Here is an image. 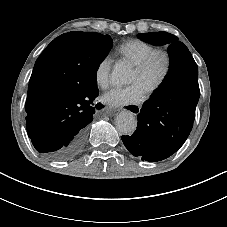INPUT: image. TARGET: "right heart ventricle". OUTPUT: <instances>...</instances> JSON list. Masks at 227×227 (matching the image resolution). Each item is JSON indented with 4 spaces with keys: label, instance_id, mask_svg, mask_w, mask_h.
I'll return each mask as SVG.
<instances>
[{
    "label": "right heart ventricle",
    "instance_id": "1",
    "mask_svg": "<svg viewBox=\"0 0 227 227\" xmlns=\"http://www.w3.org/2000/svg\"><path fill=\"white\" fill-rule=\"evenodd\" d=\"M154 49V46L146 41L129 39L118 46L117 52L123 60L135 67Z\"/></svg>",
    "mask_w": 227,
    "mask_h": 227
}]
</instances>
